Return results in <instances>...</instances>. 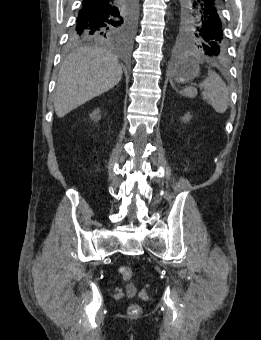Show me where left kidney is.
Instances as JSON below:
<instances>
[{
  "label": "left kidney",
  "mask_w": 261,
  "mask_h": 340,
  "mask_svg": "<svg viewBox=\"0 0 261 340\" xmlns=\"http://www.w3.org/2000/svg\"><path fill=\"white\" fill-rule=\"evenodd\" d=\"M192 118V116L189 114V113H187V114H185L184 115V117L182 118V121H184L185 123L186 122H189V120Z\"/></svg>",
  "instance_id": "left-kidney-1"
}]
</instances>
